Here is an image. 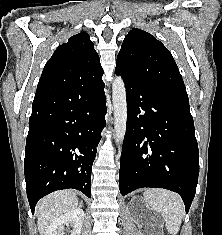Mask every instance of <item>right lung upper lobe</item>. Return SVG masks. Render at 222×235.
<instances>
[{
  "mask_svg": "<svg viewBox=\"0 0 222 235\" xmlns=\"http://www.w3.org/2000/svg\"><path fill=\"white\" fill-rule=\"evenodd\" d=\"M103 74L100 59L87 33L81 32L60 45L46 63L38 84L64 85Z\"/></svg>",
  "mask_w": 222,
  "mask_h": 235,
  "instance_id": "obj_1",
  "label": "right lung upper lobe"
}]
</instances>
